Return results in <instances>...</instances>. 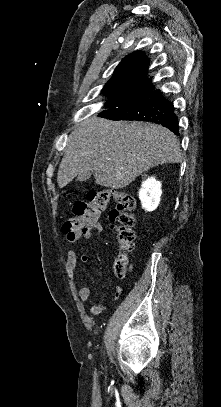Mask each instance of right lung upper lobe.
I'll return each instance as SVG.
<instances>
[{
    "label": "right lung upper lobe",
    "mask_w": 221,
    "mask_h": 407,
    "mask_svg": "<svg viewBox=\"0 0 221 407\" xmlns=\"http://www.w3.org/2000/svg\"><path fill=\"white\" fill-rule=\"evenodd\" d=\"M149 58L143 51H136L127 55L119 65L104 89L123 90L140 84L145 86L151 79L146 78Z\"/></svg>",
    "instance_id": "1"
}]
</instances>
